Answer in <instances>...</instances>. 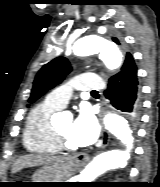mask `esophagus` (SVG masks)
Instances as JSON below:
<instances>
[{
  "mask_svg": "<svg viewBox=\"0 0 160 187\" xmlns=\"http://www.w3.org/2000/svg\"><path fill=\"white\" fill-rule=\"evenodd\" d=\"M107 145V142L105 140H102L100 148H104ZM89 155L86 153H79L74 156V160L77 163L85 164L89 161Z\"/></svg>",
  "mask_w": 160,
  "mask_h": 187,
  "instance_id": "34e87169",
  "label": "esophagus"
}]
</instances>
